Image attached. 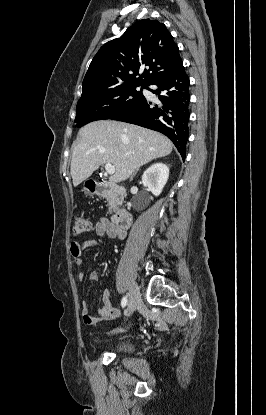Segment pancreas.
<instances>
[{
	"mask_svg": "<svg viewBox=\"0 0 266 415\" xmlns=\"http://www.w3.org/2000/svg\"><path fill=\"white\" fill-rule=\"evenodd\" d=\"M105 198L107 199V206H109V212H115L117 207H116V196L115 194H113L111 191H107L105 194Z\"/></svg>",
	"mask_w": 266,
	"mask_h": 415,
	"instance_id": "1",
	"label": "pancreas"
}]
</instances>
